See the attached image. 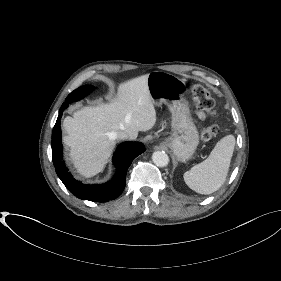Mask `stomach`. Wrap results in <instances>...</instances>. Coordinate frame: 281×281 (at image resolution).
Segmentation results:
<instances>
[{
    "instance_id": "obj_1",
    "label": "stomach",
    "mask_w": 281,
    "mask_h": 281,
    "mask_svg": "<svg viewBox=\"0 0 281 281\" xmlns=\"http://www.w3.org/2000/svg\"><path fill=\"white\" fill-rule=\"evenodd\" d=\"M184 86V81L173 74L164 71L148 74V89L153 104H166L171 112V135L163 144L183 162L193 156L199 144V133L182 92Z\"/></svg>"
}]
</instances>
